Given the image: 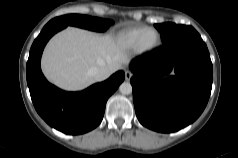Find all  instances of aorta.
Here are the masks:
<instances>
[{
	"label": "aorta",
	"instance_id": "1",
	"mask_svg": "<svg viewBox=\"0 0 238 158\" xmlns=\"http://www.w3.org/2000/svg\"><path fill=\"white\" fill-rule=\"evenodd\" d=\"M119 90L122 94L128 95L132 93V85L129 82H123L120 87Z\"/></svg>",
	"mask_w": 238,
	"mask_h": 158
}]
</instances>
